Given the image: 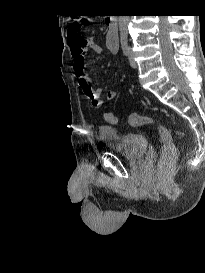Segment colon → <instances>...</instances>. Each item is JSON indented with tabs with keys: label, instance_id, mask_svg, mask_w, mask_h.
Instances as JSON below:
<instances>
[{
	"label": "colon",
	"instance_id": "5ec220e1",
	"mask_svg": "<svg viewBox=\"0 0 205 273\" xmlns=\"http://www.w3.org/2000/svg\"><path fill=\"white\" fill-rule=\"evenodd\" d=\"M85 21L84 17H76L68 28L70 41L79 46L86 45V39L82 36V27L85 25ZM105 119L113 124L118 122V118L110 112L105 114ZM129 123L132 126H152L157 129L163 144L161 167L168 168L177 156V149L170 131L154 118L135 113L130 115Z\"/></svg>",
	"mask_w": 205,
	"mask_h": 273
}]
</instances>
